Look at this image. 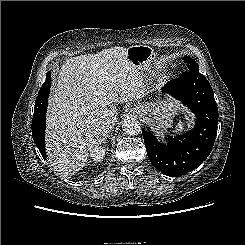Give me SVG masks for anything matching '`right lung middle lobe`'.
Returning <instances> with one entry per match:
<instances>
[{
	"label": "right lung middle lobe",
	"instance_id": "obj_1",
	"mask_svg": "<svg viewBox=\"0 0 245 245\" xmlns=\"http://www.w3.org/2000/svg\"><path fill=\"white\" fill-rule=\"evenodd\" d=\"M50 87H51V74H50V72H47L46 80L43 83L40 91L38 92V96H37L36 101H35L34 112L41 113L43 111H46L47 99L49 96Z\"/></svg>",
	"mask_w": 245,
	"mask_h": 245
}]
</instances>
